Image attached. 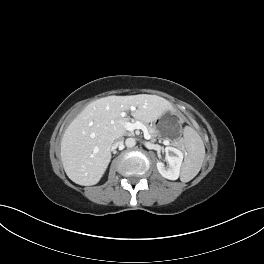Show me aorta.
<instances>
[{
	"instance_id": "1",
	"label": "aorta",
	"mask_w": 264,
	"mask_h": 264,
	"mask_svg": "<svg viewBox=\"0 0 264 264\" xmlns=\"http://www.w3.org/2000/svg\"><path fill=\"white\" fill-rule=\"evenodd\" d=\"M125 145L128 147V148H132L136 145V140L134 138H127L126 141H125Z\"/></svg>"
}]
</instances>
